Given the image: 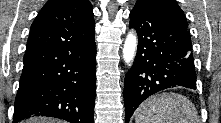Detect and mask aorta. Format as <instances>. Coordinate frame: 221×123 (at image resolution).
<instances>
[{
  "label": "aorta",
  "mask_w": 221,
  "mask_h": 123,
  "mask_svg": "<svg viewBox=\"0 0 221 123\" xmlns=\"http://www.w3.org/2000/svg\"><path fill=\"white\" fill-rule=\"evenodd\" d=\"M137 50V37L131 32L127 35L124 47H123V58L127 64H130L136 55Z\"/></svg>",
  "instance_id": "762f6f07"
}]
</instances>
